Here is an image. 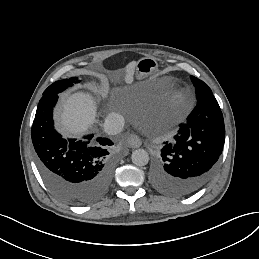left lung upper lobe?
<instances>
[{"label":"left lung upper lobe","instance_id":"1","mask_svg":"<svg viewBox=\"0 0 259 259\" xmlns=\"http://www.w3.org/2000/svg\"><path fill=\"white\" fill-rule=\"evenodd\" d=\"M191 80L196 88V93L199 94L200 92L204 91H211L209 86L204 83L203 81L199 80L198 78L191 76Z\"/></svg>","mask_w":259,"mask_h":259}]
</instances>
